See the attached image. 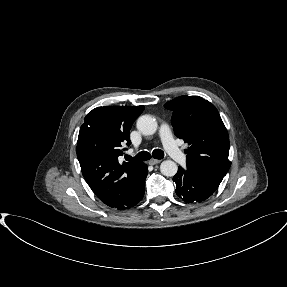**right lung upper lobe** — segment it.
<instances>
[{
    "label": "right lung upper lobe",
    "mask_w": 287,
    "mask_h": 287,
    "mask_svg": "<svg viewBox=\"0 0 287 287\" xmlns=\"http://www.w3.org/2000/svg\"><path fill=\"white\" fill-rule=\"evenodd\" d=\"M144 106L97 107L82 124L77 157L82 174L98 198L110 206L124 196L138 177L142 163L120 164L121 145H129V131Z\"/></svg>",
    "instance_id": "obj_1"
}]
</instances>
